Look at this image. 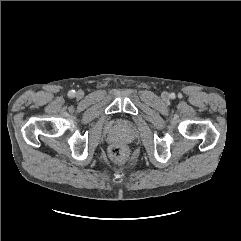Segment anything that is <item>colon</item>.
<instances>
[{
	"mask_svg": "<svg viewBox=\"0 0 241 241\" xmlns=\"http://www.w3.org/2000/svg\"><path fill=\"white\" fill-rule=\"evenodd\" d=\"M110 157L117 162H121L126 157V150L122 146H112L109 150Z\"/></svg>",
	"mask_w": 241,
	"mask_h": 241,
	"instance_id": "5ec220e1",
	"label": "colon"
}]
</instances>
